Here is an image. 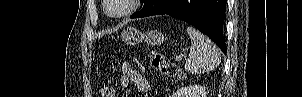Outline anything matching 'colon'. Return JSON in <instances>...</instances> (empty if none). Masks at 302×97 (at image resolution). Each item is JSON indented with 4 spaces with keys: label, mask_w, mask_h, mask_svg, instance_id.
Wrapping results in <instances>:
<instances>
[{
    "label": "colon",
    "mask_w": 302,
    "mask_h": 97,
    "mask_svg": "<svg viewBox=\"0 0 302 97\" xmlns=\"http://www.w3.org/2000/svg\"><path fill=\"white\" fill-rule=\"evenodd\" d=\"M149 56L152 67L155 70L160 71L162 74L170 77H177L180 79L183 78V73L181 72L179 67L174 63L165 61L161 54L157 51L151 50ZM115 92V86L111 83H105L101 88L102 97H115Z\"/></svg>",
    "instance_id": "5ec220e1"
}]
</instances>
